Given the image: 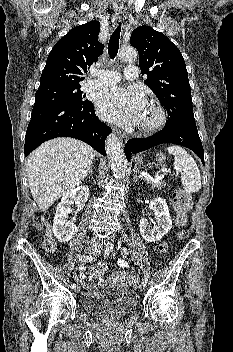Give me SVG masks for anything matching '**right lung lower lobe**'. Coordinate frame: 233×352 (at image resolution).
Instances as JSON below:
<instances>
[{
  "label": "right lung lower lobe",
  "mask_w": 233,
  "mask_h": 352,
  "mask_svg": "<svg viewBox=\"0 0 233 352\" xmlns=\"http://www.w3.org/2000/svg\"><path fill=\"white\" fill-rule=\"evenodd\" d=\"M111 131L96 117L93 103L88 100L74 105L35 107L25 136L24 154L28 156L44 141L72 137L106 156L105 139Z\"/></svg>",
  "instance_id": "right-lung-lower-lobe-1"
}]
</instances>
